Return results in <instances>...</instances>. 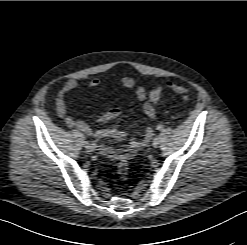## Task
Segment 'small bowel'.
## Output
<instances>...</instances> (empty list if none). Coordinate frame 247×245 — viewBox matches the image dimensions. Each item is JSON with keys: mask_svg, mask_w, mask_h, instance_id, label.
<instances>
[{"mask_svg": "<svg viewBox=\"0 0 247 245\" xmlns=\"http://www.w3.org/2000/svg\"><path fill=\"white\" fill-rule=\"evenodd\" d=\"M101 80L99 78H93L87 83L88 88H97L100 86ZM121 84L128 90H135L136 97L139 101L143 102V111L145 115L153 119L156 116V111L152 103L147 100V92L141 85H137L134 78L130 76H123L121 78ZM79 87V81L77 79L67 80L62 88L59 90L55 98L56 111L59 117L64 123L72 129H76L86 135H90L97 138L110 137L116 140H129V144L126 148L115 150L107 145H101V153L111 160H119L121 157L128 159L135 156L152 138L153 129L147 127L141 138H137L129 135L128 133L120 129V123L122 120V112L119 108L113 107L95 118L94 122L98 124L114 121V125L107 129H101L94 131L90 124L84 120L78 119L68 112L66 105V96L73 90Z\"/></svg>", "mask_w": 247, "mask_h": 245, "instance_id": "small-bowel-1", "label": "small bowel"}]
</instances>
